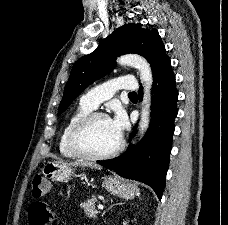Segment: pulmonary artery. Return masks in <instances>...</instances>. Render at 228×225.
<instances>
[{
  "instance_id": "pulmonary-artery-1",
  "label": "pulmonary artery",
  "mask_w": 228,
  "mask_h": 225,
  "mask_svg": "<svg viewBox=\"0 0 228 225\" xmlns=\"http://www.w3.org/2000/svg\"><path fill=\"white\" fill-rule=\"evenodd\" d=\"M120 80H134V75H120ZM139 81H106V85H96V89L88 91L80 98V103L96 109L100 103L110 97L104 94H116V90H136Z\"/></svg>"
}]
</instances>
